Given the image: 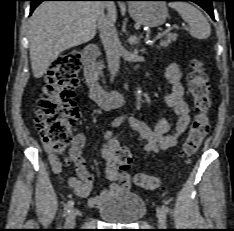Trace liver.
Wrapping results in <instances>:
<instances>
[{
  "mask_svg": "<svg viewBox=\"0 0 234 231\" xmlns=\"http://www.w3.org/2000/svg\"><path fill=\"white\" fill-rule=\"evenodd\" d=\"M115 23L114 3L101 1H50L41 3L29 20L30 60L33 75L41 78L64 51L87 43L96 35L104 9Z\"/></svg>",
  "mask_w": 234,
  "mask_h": 231,
  "instance_id": "6515ba94",
  "label": "liver"
}]
</instances>
